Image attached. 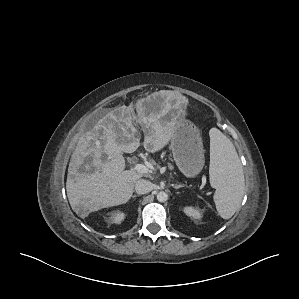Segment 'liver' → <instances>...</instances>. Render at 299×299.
I'll list each match as a JSON object with an SVG mask.
<instances>
[{
    "label": "liver",
    "mask_w": 299,
    "mask_h": 299,
    "mask_svg": "<svg viewBox=\"0 0 299 299\" xmlns=\"http://www.w3.org/2000/svg\"><path fill=\"white\" fill-rule=\"evenodd\" d=\"M136 108V123L145 133V150L155 153L163 149L171 139L175 123L164 120L169 106L166 104L159 112L157 106L140 101ZM139 146L140 134L132 110L125 105L110 110L79 139L66 182L70 206L79 217L128 202L142 174L124 170L123 153H132Z\"/></svg>",
    "instance_id": "obj_1"
}]
</instances>
